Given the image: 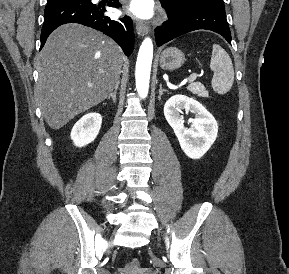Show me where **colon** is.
Wrapping results in <instances>:
<instances>
[{"instance_id": "1", "label": "colon", "mask_w": 289, "mask_h": 274, "mask_svg": "<svg viewBox=\"0 0 289 274\" xmlns=\"http://www.w3.org/2000/svg\"><path fill=\"white\" fill-rule=\"evenodd\" d=\"M140 267V263L137 259H131L125 266L124 271L137 270Z\"/></svg>"}]
</instances>
